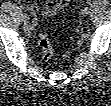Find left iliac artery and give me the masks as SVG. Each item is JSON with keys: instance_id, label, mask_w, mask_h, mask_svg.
Returning <instances> with one entry per match:
<instances>
[{"instance_id": "44dca946", "label": "left iliac artery", "mask_w": 111, "mask_h": 106, "mask_svg": "<svg viewBox=\"0 0 111 106\" xmlns=\"http://www.w3.org/2000/svg\"><path fill=\"white\" fill-rule=\"evenodd\" d=\"M87 4H88V5H90V4H91V1H90V0H88V1H87Z\"/></svg>"}]
</instances>
